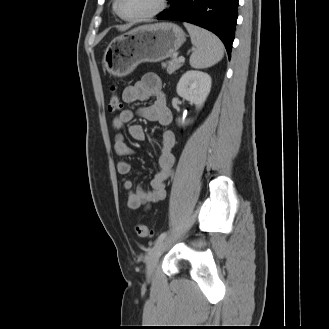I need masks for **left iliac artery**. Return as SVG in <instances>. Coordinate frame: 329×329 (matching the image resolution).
Segmentation results:
<instances>
[{
    "label": "left iliac artery",
    "instance_id": "44dca946",
    "mask_svg": "<svg viewBox=\"0 0 329 329\" xmlns=\"http://www.w3.org/2000/svg\"><path fill=\"white\" fill-rule=\"evenodd\" d=\"M167 236V232H163L159 235V237L157 238L155 244L159 243L160 241H162L165 237Z\"/></svg>",
    "mask_w": 329,
    "mask_h": 329
}]
</instances>
